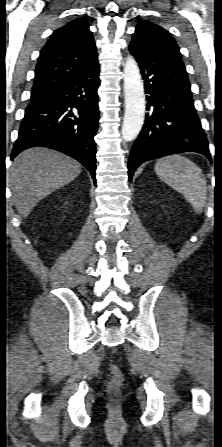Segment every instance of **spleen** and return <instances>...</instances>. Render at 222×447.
Returning a JSON list of instances; mask_svg holds the SVG:
<instances>
[{
	"mask_svg": "<svg viewBox=\"0 0 222 447\" xmlns=\"http://www.w3.org/2000/svg\"><path fill=\"white\" fill-rule=\"evenodd\" d=\"M156 174L169 186L180 192L200 214L207 199L206 179L202 170L187 157L175 154L159 159Z\"/></svg>",
	"mask_w": 222,
	"mask_h": 447,
	"instance_id": "obj_1",
	"label": "spleen"
}]
</instances>
